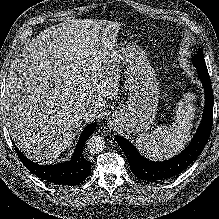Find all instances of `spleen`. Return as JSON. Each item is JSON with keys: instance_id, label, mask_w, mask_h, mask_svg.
Listing matches in <instances>:
<instances>
[{"instance_id": "spleen-1", "label": "spleen", "mask_w": 219, "mask_h": 219, "mask_svg": "<svg viewBox=\"0 0 219 219\" xmlns=\"http://www.w3.org/2000/svg\"><path fill=\"white\" fill-rule=\"evenodd\" d=\"M187 94L175 107L174 122L168 127L161 125L152 133H141L135 143L139 151L153 160L169 159L184 148L193 126L194 108Z\"/></svg>"}]
</instances>
